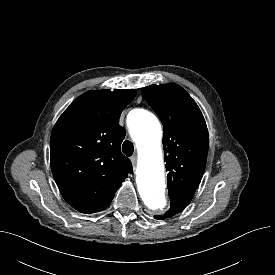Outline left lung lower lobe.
Instances as JSON below:
<instances>
[{
    "instance_id": "left-lung-lower-lobe-1",
    "label": "left lung lower lobe",
    "mask_w": 275,
    "mask_h": 275,
    "mask_svg": "<svg viewBox=\"0 0 275 275\" xmlns=\"http://www.w3.org/2000/svg\"><path fill=\"white\" fill-rule=\"evenodd\" d=\"M169 198L171 201L170 209L162 216H155L156 219H165L181 212L188 206L193 196L189 194H173L169 195Z\"/></svg>"
}]
</instances>
